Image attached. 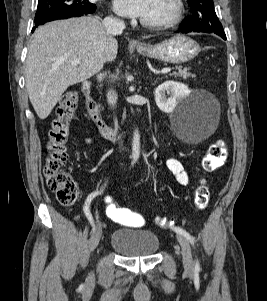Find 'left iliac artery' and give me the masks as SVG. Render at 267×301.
<instances>
[{
	"instance_id": "left-iliac-artery-1",
	"label": "left iliac artery",
	"mask_w": 267,
	"mask_h": 301,
	"mask_svg": "<svg viewBox=\"0 0 267 301\" xmlns=\"http://www.w3.org/2000/svg\"><path fill=\"white\" fill-rule=\"evenodd\" d=\"M173 230L176 231L177 233L183 234L187 238V240H189L190 243L194 246V238L187 231H185L184 229H182L180 227H176V226L173 227ZM195 268L196 269L200 268L198 259L196 260Z\"/></svg>"
}]
</instances>
